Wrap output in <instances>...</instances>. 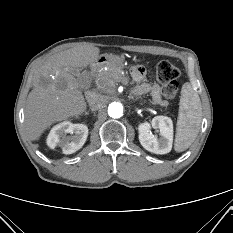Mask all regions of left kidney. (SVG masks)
Listing matches in <instances>:
<instances>
[{
    "label": "left kidney",
    "instance_id": "left-kidney-1",
    "mask_svg": "<svg viewBox=\"0 0 233 233\" xmlns=\"http://www.w3.org/2000/svg\"><path fill=\"white\" fill-rule=\"evenodd\" d=\"M151 127L159 129L160 137L151 133ZM139 141L143 148L155 154H167L172 149L173 122L166 116H156L149 123L147 121L138 126Z\"/></svg>",
    "mask_w": 233,
    "mask_h": 233
}]
</instances>
